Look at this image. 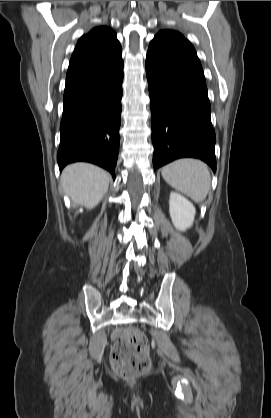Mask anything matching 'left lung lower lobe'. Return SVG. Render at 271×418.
<instances>
[{
    "instance_id": "0a47b994",
    "label": "left lung lower lobe",
    "mask_w": 271,
    "mask_h": 418,
    "mask_svg": "<svg viewBox=\"0 0 271 418\" xmlns=\"http://www.w3.org/2000/svg\"><path fill=\"white\" fill-rule=\"evenodd\" d=\"M157 169L175 159L194 157L216 171V136L201 63L154 38L146 57Z\"/></svg>"
}]
</instances>
